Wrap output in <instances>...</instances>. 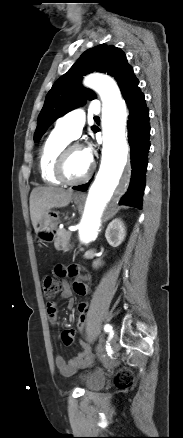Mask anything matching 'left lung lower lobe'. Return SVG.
I'll return each mask as SVG.
<instances>
[{
  "label": "left lung lower lobe",
  "instance_id": "0a47b994",
  "mask_svg": "<svg viewBox=\"0 0 183 438\" xmlns=\"http://www.w3.org/2000/svg\"><path fill=\"white\" fill-rule=\"evenodd\" d=\"M139 81L133 78L122 92L129 109L127 122L128 142L131 156V181L127 192L119 204L134 206L141 209L142 196L145 189V172L147 169V154L150 148L149 111L146 107L144 95L138 87ZM98 130H95L97 132ZM87 184L73 187L74 190L86 191Z\"/></svg>",
  "mask_w": 183,
  "mask_h": 438
}]
</instances>
